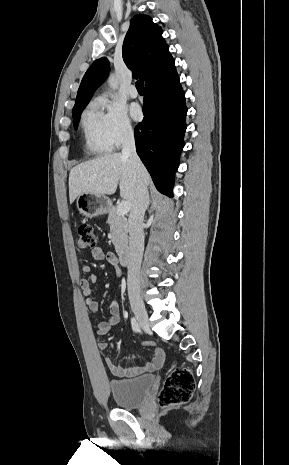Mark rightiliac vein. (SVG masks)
Returning a JSON list of instances; mask_svg holds the SVG:
<instances>
[{
    "label": "right iliac vein",
    "mask_w": 289,
    "mask_h": 465,
    "mask_svg": "<svg viewBox=\"0 0 289 465\" xmlns=\"http://www.w3.org/2000/svg\"><path fill=\"white\" fill-rule=\"evenodd\" d=\"M131 308L137 318L140 327L145 331H149L148 314L143 303L138 299H132Z\"/></svg>",
    "instance_id": "1"
}]
</instances>
